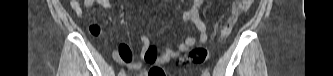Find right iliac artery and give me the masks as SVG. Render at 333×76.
<instances>
[{"label":"right iliac artery","mask_w":333,"mask_h":76,"mask_svg":"<svg viewBox=\"0 0 333 76\" xmlns=\"http://www.w3.org/2000/svg\"><path fill=\"white\" fill-rule=\"evenodd\" d=\"M118 76H125V71L124 70H121L118 74Z\"/></svg>","instance_id":"1"}]
</instances>
